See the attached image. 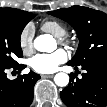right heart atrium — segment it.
<instances>
[{"label":"right heart atrium","instance_id":"obj_1","mask_svg":"<svg viewBox=\"0 0 107 107\" xmlns=\"http://www.w3.org/2000/svg\"><path fill=\"white\" fill-rule=\"evenodd\" d=\"M34 27L28 24L22 30L19 37V44L24 53H30L33 50Z\"/></svg>","mask_w":107,"mask_h":107}]
</instances>
